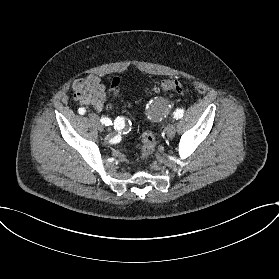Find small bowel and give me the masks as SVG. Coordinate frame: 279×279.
<instances>
[{
    "mask_svg": "<svg viewBox=\"0 0 279 279\" xmlns=\"http://www.w3.org/2000/svg\"><path fill=\"white\" fill-rule=\"evenodd\" d=\"M122 85L121 79L113 78L109 85L98 75H88L76 80L72 85L73 99L82 106H93L102 112L106 101L116 95Z\"/></svg>",
    "mask_w": 279,
    "mask_h": 279,
    "instance_id": "obj_1",
    "label": "small bowel"
}]
</instances>
